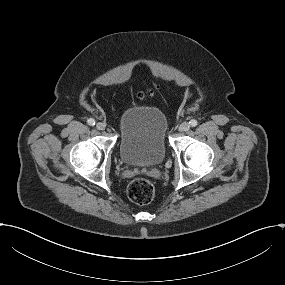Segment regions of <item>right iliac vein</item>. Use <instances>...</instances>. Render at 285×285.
<instances>
[{
    "label": "right iliac vein",
    "instance_id": "right-iliac-vein-1",
    "mask_svg": "<svg viewBox=\"0 0 285 285\" xmlns=\"http://www.w3.org/2000/svg\"><path fill=\"white\" fill-rule=\"evenodd\" d=\"M96 128L98 130H104L105 129V124L101 123V122H98V123H96Z\"/></svg>",
    "mask_w": 285,
    "mask_h": 285
}]
</instances>
